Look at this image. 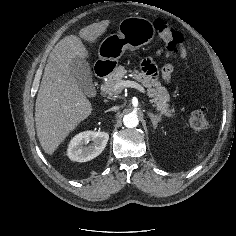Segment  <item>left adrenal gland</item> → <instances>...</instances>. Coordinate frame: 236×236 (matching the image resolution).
<instances>
[{
  "label": "left adrenal gland",
  "mask_w": 236,
  "mask_h": 236,
  "mask_svg": "<svg viewBox=\"0 0 236 236\" xmlns=\"http://www.w3.org/2000/svg\"><path fill=\"white\" fill-rule=\"evenodd\" d=\"M148 116H149L150 119H151L153 128L156 129L157 126H158V123L160 122V119H161L160 117H161V115H155V114H153V113L148 112Z\"/></svg>",
  "instance_id": "obj_1"
}]
</instances>
